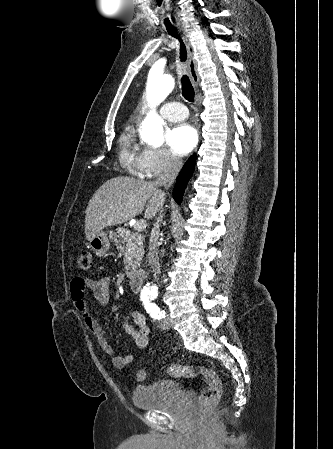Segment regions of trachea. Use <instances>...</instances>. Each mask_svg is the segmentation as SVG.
<instances>
[{"label": "trachea", "mask_w": 333, "mask_h": 449, "mask_svg": "<svg viewBox=\"0 0 333 449\" xmlns=\"http://www.w3.org/2000/svg\"><path fill=\"white\" fill-rule=\"evenodd\" d=\"M167 31H168L169 35H171L172 37L176 38L179 41V43H180V60H181V62H185L186 58H187V49H186V46H185L184 42L182 41L181 37L178 35L176 28H174L172 26H168ZM181 86H182L183 97L186 100L193 102L195 92H194L192 83L187 75H183L181 77Z\"/></svg>", "instance_id": "1"}]
</instances>
